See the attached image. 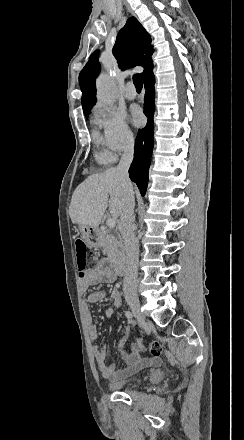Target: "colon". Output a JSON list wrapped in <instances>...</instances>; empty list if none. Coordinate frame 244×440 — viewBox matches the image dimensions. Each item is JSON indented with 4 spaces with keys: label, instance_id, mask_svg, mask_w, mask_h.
I'll use <instances>...</instances> for the list:
<instances>
[{
    "label": "colon",
    "instance_id": "5ec220e1",
    "mask_svg": "<svg viewBox=\"0 0 244 440\" xmlns=\"http://www.w3.org/2000/svg\"><path fill=\"white\" fill-rule=\"evenodd\" d=\"M77 270L81 277L86 273V270L92 266L99 264L98 253L94 250H88L86 242L78 240L75 243ZM146 351L153 357H160L164 353L163 344L160 341H148L145 343Z\"/></svg>",
    "mask_w": 244,
    "mask_h": 440
}]
</instances>
